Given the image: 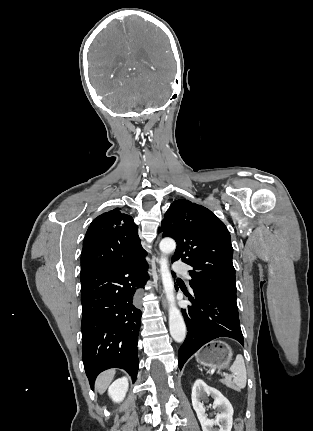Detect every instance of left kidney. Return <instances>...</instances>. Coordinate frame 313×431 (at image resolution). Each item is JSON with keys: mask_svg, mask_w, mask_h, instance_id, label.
I'll return each instance as SVG.
<instances>
[{"mask_svg": "<svg viewBox=\"0 0 313 431\" xmlns=\"http://www.w3.org/2000/svg\"><path fill=\"white\" fill-rule=\"evenodd\" d=\"M211 396L214 399L213 408H218L219 413L216 419H209L206 409L201 400L204 396ZM192 405L201 423L203 431H214L213 426L219 427L218 431H231L233 424V407L229 400L218 390L208 386L203 380L197 379L192 387Z\"/></svg>", "mask_w": 313, "mask_h": 431, "instance_id": "left-kidney-1", "label": "left kidney"}]
</instances>
